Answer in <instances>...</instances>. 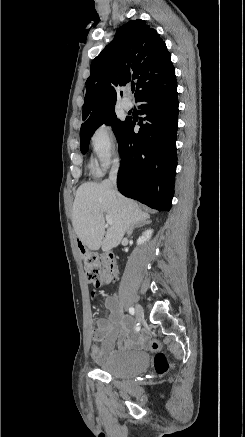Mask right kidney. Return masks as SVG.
<instances>
[{
    "mask_svg": "<svg viewBox=\"0 0 245 437\" xmlns=\"http://www.w3.org/2000/svg\"><path fill=\"white\" fill-rule=\"evenodd\" d=\"M153 230L149 229L142 233V236H140L137 240V245L144 244L146 241H148L152 236Z\"/></svg>",
    "mask_w": 245,
    "mask_h": 437,
    "instance_id": "1",
    "label": "right kidney"
}]
</instances>
